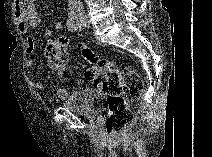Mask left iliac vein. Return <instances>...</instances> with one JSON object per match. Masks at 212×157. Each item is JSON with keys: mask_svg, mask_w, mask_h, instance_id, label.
Wrapping results in <instances>:
<instances>
[{"mask_svg": "<svg viewBox=\"0 0 212 157\" xmlns=\"http://www.w3.org/2000/svg\"><path fill=\"white\" fill-rule=\"evenodd\" d=\"M79 25L83 28H89L90 27V21L87 17H81L79 19Z\"/></svg>", "mask_w": 212, "mask_h": 157, "instance_id": "4c4485c4", "label": "left iliac vein"}]
</instances>
